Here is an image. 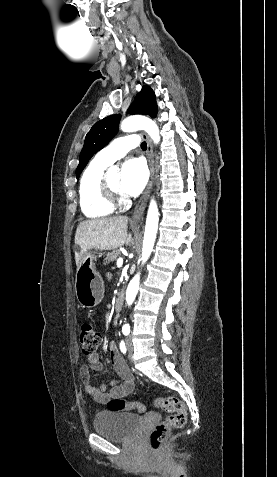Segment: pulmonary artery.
<instances>
[{
	"label": "pulmonary artery",
	"instance_id": "pulmonary-artery-1",
	"mask_svg": "<svg viewBox=\"0 0 277 477\" xmlns=\"http://www.w3.org/2000/svg\"><path fill=\"white\" fill-rule=\"evenodd\" d=\"M139 138L137 135H127L114 140L107 147L102 149L95 159L105 165H111L116 160L125 156L129 150L137 147Z\"/></svg>",
	"mask_w": 277,
	"mask_h": 477
}]
</instances>
